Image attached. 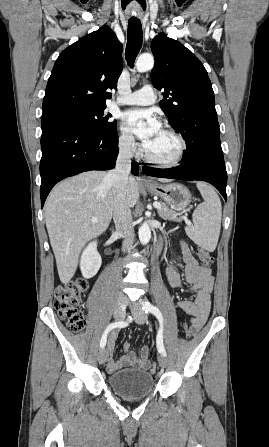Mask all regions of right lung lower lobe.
<instances>
[{
  "label": "right lung lower lobe",
  "instance_id": "obj_1",
  "mask_svg": "<svg viewBox=\"0 0 269 447\" xmlns=\"http://www.w3.org/2000/svg\"><path fill=\"white\" fill-rule=\"evenodd\" d=\"M41 206L62 179L89 170L115 167L118 155L117 132H99L82 125L66 112H47L41 118ZM139 165L132 162V173Z\"/></svg>",
  "mask_w": 269,
  "mask_h": 447
}]
</instances>
